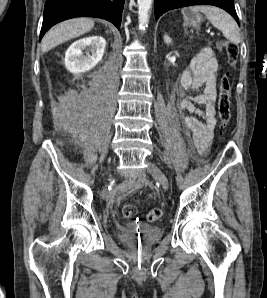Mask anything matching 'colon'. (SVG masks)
Listing matches in <instances>:
<instances>
[{"label":"colon","instance_id":"obj_1","mask_svg":"<svg viewBox=\"0 0 267 298\" xmlns=\"http://www.w3.org/2000/svg\"><path fill=\"white\" fill-rule=\"evenodd\" d=\"M219 49L225 53L228 62L234 65L238 57V46L232 42L223 41L219 43ZM218 116L220 120V127L222 130L226 129L231 119V99H230V82L228 74L222 78L219 98H218ZM122 216L130 219L134 218L137 214V207L134 204L128 203L122 207ZM163 211L160 208H153L146 215L148 222H153L160 219Z\"/></svg>","mask_w":267,"mask_h":298}]
</instances>
